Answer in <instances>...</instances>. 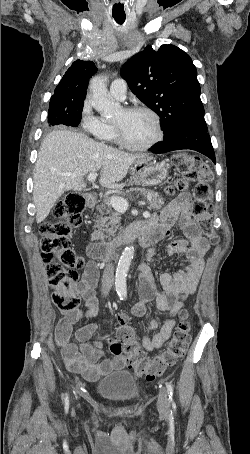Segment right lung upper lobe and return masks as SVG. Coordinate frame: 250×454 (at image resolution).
I'll use <instances>...</instances> for the list:
<instances>
[{"instance_id":"cb5924a9","label":"right lung upper lobe","mask_w":250,"mask_h":454,"mask_svg":"<svg viewBox=\"0 0 250 454\" xmlns=\"http://www.w3.org/2000/svg\"><path fill=\"white\" fill-rule=\"evenodd\" d=\"M96 72L97 68L92 61L76 60L56 86L51 98L70 101L85 99L89 78Z\"/></svg>"}]
</instances>
